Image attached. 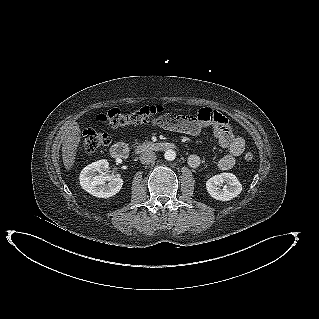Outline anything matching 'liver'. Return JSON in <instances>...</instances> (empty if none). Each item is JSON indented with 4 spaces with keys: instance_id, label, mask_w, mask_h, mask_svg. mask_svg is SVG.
I'll list each match as a JSON object with an SVG mask.
<instances>
[{
    "instance_id": "liver-1",
    "label": "liver",
    "mask_w": 319,
    "mask_h": 319,
    "mask_svg": "<svg viewBox=\"0 0 319 319\" xmlns=\"http://www.w3.org/2000/svg\"><path fill=\"white\" fill-rule=\"evenodd\" d=\"M81 130L76 122L71 123L62 135V159L66 170H71L76 159L81 139Z\"/></svg>"
}]
</instances>
